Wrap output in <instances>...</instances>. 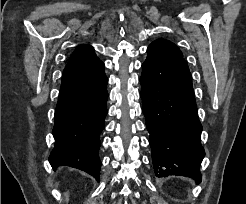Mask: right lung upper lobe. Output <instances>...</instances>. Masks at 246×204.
Masks as SVG:
<instances>
[{"label":"right lung upper lobe","mask_w":246,"mask_h":204,"mask_svg":"<svg viewBox=\"0 0 246 204\" xmlns=\"http://www.w3.org/2000/svg\"><path fill=\"white\" fill-rule=\"evenodd\" d=\"M100 61L94 53V49L89 45L79 46L72 54L69 63L74 62H98Z\"/></svg>","instance_id":"right-lung-upper-lobe-1"}]
</instances>
